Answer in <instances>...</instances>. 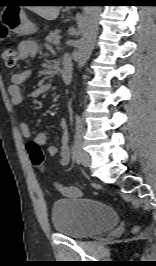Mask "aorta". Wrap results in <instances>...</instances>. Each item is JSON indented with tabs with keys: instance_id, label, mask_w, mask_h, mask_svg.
I'll list each match as a JSON object with an SVG mask.
<instances>
[{
	"instance_id": "obj_1",
	"label": "aorta",
	"mask_w": 156,
	"mask_h": 266,
	"mask_svg": "<svg viewBox=\"0 0 156 266\" xmlns=\"http://www.w3.org/2000/svg\"><path fill=\"white\" fill-rule=\"evenodd\" d=\"M100 12V6H85L83 9V17L80 25L82 36L79 41L77 53V65L79 69L85 65L94 48Z\"/></svg>"
}]
</instances>
